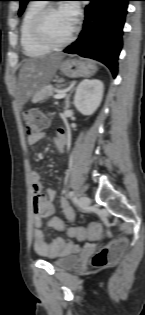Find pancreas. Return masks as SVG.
Instances as JSON below:
<instances>
[{"label":"pancreas","mask_w":145,"mask_h":315,"mask_svg":"<svg viewBox=\"0 0 145 315\" xmlns=\"http://www.w3.org/2000/svg\"><path fill=\"white\" fill-rule=\"evenodd\" d=\"M54 93V87L52 85H48V86H45L40 94H39V98L40 99H48L50 96H52Z\"/></svg>","instance_id":"1"}]
</instances>
